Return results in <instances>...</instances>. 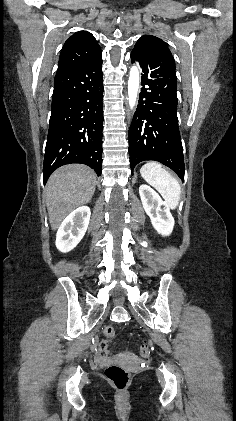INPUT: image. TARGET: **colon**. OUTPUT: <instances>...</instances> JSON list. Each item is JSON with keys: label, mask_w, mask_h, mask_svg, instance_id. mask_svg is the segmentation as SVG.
Returning <instances> with one entry per match:
<instances>
[{"label": "colon", "mask_w": 236, "mask_h": 421, "mask_svg": "<svg viewBox=\"0 0 236 421\" xmlns=\"http://www.w3.org/2000/svg\"><path fill=\"white\" fill-rule=\"evenodd\" d=\"M114 334H115L114 329L112 327H107L104 330V336L99 345V352L104 357H107L110 354L109 344L111 343L114 337ZM139 353L143 358L149 357L150 355L149 345L147 343H143L140 346ZM105 377L116 388L122 390L128 386L130 382L131 374L125 368L116 364H112L106 368Z\"/></svg>", "instance_id": "colon-1"}]
</instances>
